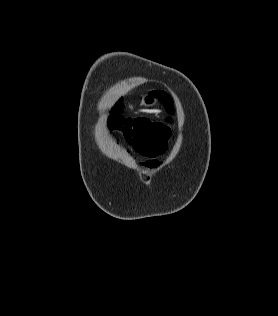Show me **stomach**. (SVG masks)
I'll return each instance as SVG.
<instances>
[{
  "label": "stomach",
  "instance_id": "0dacf381",
  "mask_svg": "<svg viewBox=\"0 0 278 316\" xmlns=\"http://www.w3.org/2000/svg\"><path fill=\"white\" fill-rule=\"evenodd\" d=\"M141 104L145 108H151L157 104V99H156L155 95L148 94V95H145L144 97H142Z\"/></svg>",
  "mask_w": 278,
  "mask_h": 316
}]
</instances>
